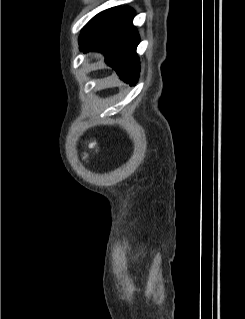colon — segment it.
Here are the masks:
<instances>
[{
	"mask_svg": "<svg viewBox=\"0 0 245 319\" xmlns=\"http://www.w3.org/2000/svg\"><path fill=\"white\" fill-rule=\"evenodd\" d=\"M91 148H94L95 147V144L94 143H90L89 145Z\"/></svg>",
	"mask_w": 245,
	"mask_h": 319,
	"instance_id": "obj_1",
	"label": "colon"
}]
</instances>
